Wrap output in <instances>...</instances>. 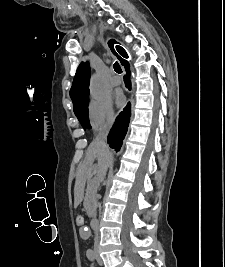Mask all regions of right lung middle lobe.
<instances>
[{
    "instance_id": "right-lung-middle-lobe-1",
    "label": "right lung middle lobe",
    "mask_w": 225,
    "mask_h": 267,
    "mask_svg": "<svg viewBox=\"0 0 225 267\" xmlns=\"http://www.w3.org/2000/svg\"><path fill=\"white\" fill-rule=\"evenodd\" d=\"M88 102H89V96L84 98L82 101H80L77 105H74V112L77 116L78 120L82 124L84 128L90 129V122L88 117Z\"/></svg>"
}]
</instances>
